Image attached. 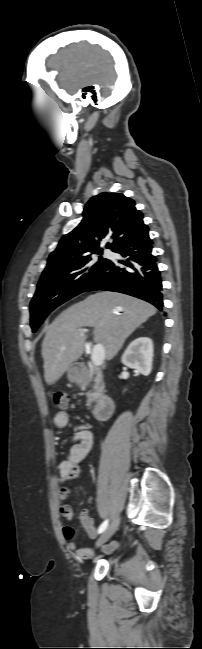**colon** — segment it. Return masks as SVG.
Instances as JSON below:
<instances>
[{"label": "colon", "instance_id": "colon-1", "mask_svg": "<svg viewBox=\"0 0 202 649\" xmlns=\"http://www.w3.org/2000/svg\"><path fill=\"white\" fill-rule=\"evenodd\" d=\"M54 404L59 408H65L68 402V395L65 392H55L53 394Z\"/></svg>", "mask_w": 202, "mask_h": 649}]
</instances>
